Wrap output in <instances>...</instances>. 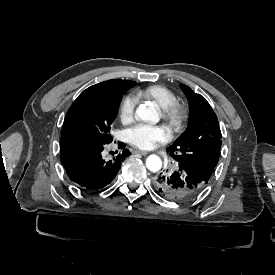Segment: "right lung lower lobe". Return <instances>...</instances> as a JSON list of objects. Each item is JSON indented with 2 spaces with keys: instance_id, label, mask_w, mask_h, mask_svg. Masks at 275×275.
<instances>
[{
  "instance_id": "right-lung-lower-lobe-1",
  "label": "right lung lower lobe",
  "mask_w": 275,
  "mask_h": 275,
  "mask_svg": "<svg viewBox=\"0 0 275 275\" xmlns=\"http://www.w3.org/2000/svg\"><path fill=\"white\" fill-rule=\"evenodd\" d=\"M104 143L85 138L61 140L60 160L65 171L77 186L83 190H99L116 177L121 163L130 155L124 143H119L123 152L112 160L102 157Z\"/></svg>"
}]
</instances>
